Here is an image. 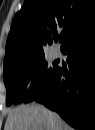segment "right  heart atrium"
Masks as SVG:
<instances>
[{
	"mask_svg": "<svg viewBox=\"0 0 95 130\" xmlns=\"http://www.w3.org/2000/svg\"><path fill=\"white\" fill-rule=\"evenodd\" d=\"M36 83H37L36 76L34 75L29 76L24 83L25 90L31 91L36 86Z\"/></svg>",
	"mask_w": 95,
	"mask_h": 130,
	"instance_id": "obj_1",
	"label": "right heart atrium"
}]
</instances>
